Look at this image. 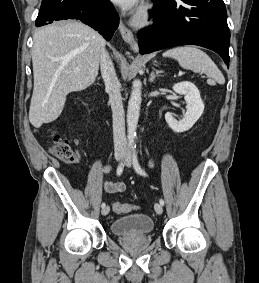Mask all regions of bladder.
Here are the masks:
<instances>
[{"mask_svg": "<svg viewBox=\"0 0 259 283\" xmlns=\"http://www.w3.org/2000/svg\"><path fill=\"white\" fill-rule=\"evenodd\" d=\"M154 223L145 214H134L115 220L111 224V231L116 236L137 237L152 232Z\"/></svg>", "mask_w": 259, "mask_h": 283, "instance_id": "bladder-1", "label": "bladder"}]
</instances>
